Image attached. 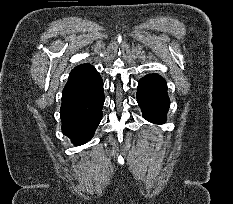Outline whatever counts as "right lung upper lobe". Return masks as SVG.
Returning <instances> with one entry per match:
<instances>
[{
	"mask_svg": "<svg viewBox=\"0 0 233 204\" xmlns=\"http://www.w3.org/2000/svg\"><path fill=\"white\" fill-rule=\"evenodd\" d=\"M92 68H93V66L90 65V64H82V65H79V66L75 67V68L71 71V73H70V75H69V79H70V78H73V77H76V76H78V75H80V74H83V73L89 71V70L92 69Z\"/></svg>",
	"mask_w": 233,
	"mask_h": 204,
	"instance_id": "right-lung-upper-lobe-1",
	"label": "right lung upper lobe"
}]
</instances>
